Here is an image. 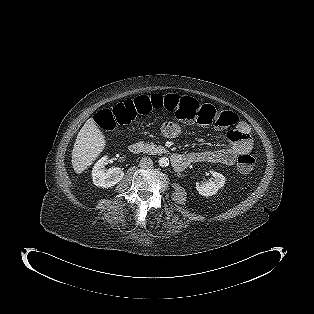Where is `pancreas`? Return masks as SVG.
Returning a JSON list of instances; mask_svg holds the SVG:
<instances>
[{"label":"pancreas","mask_w":314,"mask_h":314,"mask_svg":"<svg viewBox=\"0 0 314 314\" xmlns=\"http://www.w3.org/2000/svg\"><path fill=\"white\" fill-rule=\"evenodd\" d=\"M144 152L149 155H155V154H163L166 153V149L159 145H155L154 143H147L144 145Z\"/></svg>","instance_id":"obj_1"}]
</instances>
